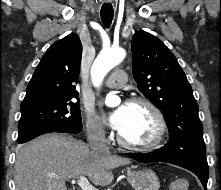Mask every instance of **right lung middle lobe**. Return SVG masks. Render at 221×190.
<instances>
[{
  "label": "right lung middle lobe",
  "instance_id": "obj_1",
  "mask_svg": "<svg viewBox=\"0 0 221 190\" xmlns=\"http://www.w3.org/2000/svg\"><path fill=\"white\" fill-rule=\"evenodd\" d=\"M18 143L52 132L77 134L82 129L79 101L73 98L21 105Z\"/></svg>",
  "mask_w": 221,
  "mask_h": 190
}]
</instances>
